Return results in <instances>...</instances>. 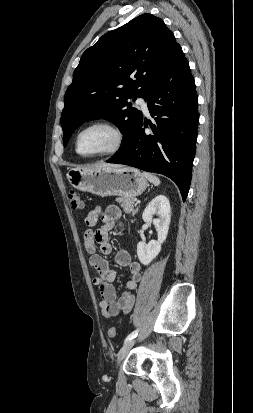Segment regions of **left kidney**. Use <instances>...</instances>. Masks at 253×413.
<instances>
[{"label": "left kidney", "instance_id": "obj_1", "mask_svg": "<svg viewBox=\"0 0 253 413\" xmlns=\"http://www.w3.org/2000/svg\"><path fill=\"white\" fill-rule=\"evenodd\" d=\"M154 215L158 218L154 219ZM142 219L146 223H153L156 227L158 239L148 243L143 241L137 244V255L143 265H148L161 251V245L166 240L170 224V203L166 196H156L145 208Z\"/></svg>", "mask_w": 253, "mask_h": 413}]
</instances>
